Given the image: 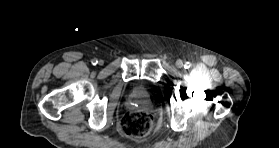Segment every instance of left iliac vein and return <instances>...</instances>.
Listing matches in <instances>:
<instances>
[{"mask_svg":"<svg viewBox=\"0 0 279 148\" xmlns=\"http://www.w3.org/2000/svg\"><path fill=\"white\" fill-rule=\"evenodd\" d=\"M176 66H177L178 68H182V67H183V62H182L181 60H178V61L176 62Z\"/></svg>","mask_w":279,"mask_h":148,"instance_id":"obj_1","label":"left iliac vein"}]
</instances>
